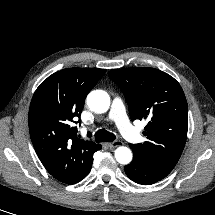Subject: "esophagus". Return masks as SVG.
Wrapping results in <instances>:
<instances>
[{"instance_id": "esophagus-1", "label": "esophagus", "mask_w": 215, "mask_h": 215, "mask_svg": "<svg viewBox=\"0 0 215 215\" xmlns=\"http://www.w3.org/2000/svg\"><path fill=\"white\" fill-rule=\"evenodd\" d=\"M122 144H123L122 141H114L112 143H107V146L109 148H116V147L121 146Z\"/></svg>"}]
</instances>
